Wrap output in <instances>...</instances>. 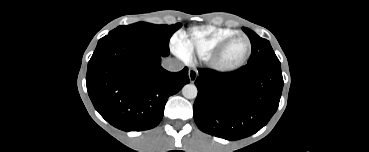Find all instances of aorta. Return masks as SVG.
<instances>
[{"instance_id":"obj_1","label":"aorta","mask_w":369,"mask_h":152,"mask_svg":"<svg viewBox=\"0 0 369 152\" xmlns=\"http://www.w3.org/2000/svg\"><path fill=\"white\" fill-rule=\"evenodd\" d=\"M198 93L197 87L194 84H186L182 88V94L187 99H194L196 98Z\"/></svg>"}]
</instances>
